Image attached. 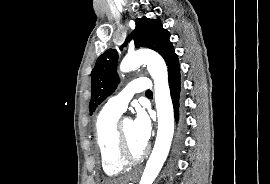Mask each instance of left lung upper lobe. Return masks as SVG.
<instances>
[{
	"label": "left lung upper lobe",
	"mask_w": 270,
	"mask_h": 184,
	"mask_svg": "<svg viewBox=\"0 0 270 184\" xmlns=\"http://www.w3.org/2000/svg\"><path fill=\"white\" fill-rule=\"evenodd\" d=\"M170 33L162 27L159 20L146 17L136 19V27L131 36L122 45L134 39L135 47H147L158 52L168 64L175 54L174 47L169 40ZM118 53L109 49L98 57L91 73V99L89 111L94 112L96 107L110 96L116 89L119 78L116 72Z\"/></svg>",
	"instance_id": "5c2ea615"
}]
</instances>
